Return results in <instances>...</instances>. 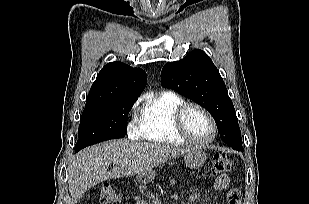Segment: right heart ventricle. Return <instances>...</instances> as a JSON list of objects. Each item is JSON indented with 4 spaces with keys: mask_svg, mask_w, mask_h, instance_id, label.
Segmentation results:
<instances>
[{
    "mask_svg": "<svg viewBox=\"0 0 309 204\" xmlns=\"http://www.w3.org/2000/svg\"><path fill=\"white\" fill-rule=\"evenodd\" d=\"M183 103L185 100L174 92L148 97L135 124L138 137L154 143L184 144L186 140L173 126L174 113Z\"/></svg>",
    "mask_w": 309,
    "mask_h": 204,
    "instance_id": "1",
    "label": "right heart ventricle"
}]
</instances>
